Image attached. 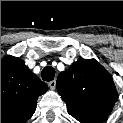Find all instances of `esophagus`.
Wrapping results in <instances>:
<instances>
[{"label":"esophagus","mask_w":123,"mask_h":123,"mask_svg":"<svg viewBox=\"0 0 123 123\" xmlns=\"http://www.w3.org/2000/svg\"><path fill=\"white\" fill-rule=\"evenodd\" d=\"M48 86L51 90H54L55 87H56V81L55 80H52L48 83Z\"/></svg>","instance_id":"34e87169"}]
</instances>
